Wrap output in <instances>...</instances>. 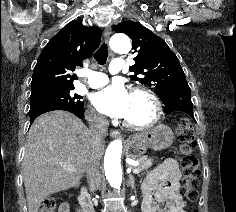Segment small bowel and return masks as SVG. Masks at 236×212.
<instances>
[{"mask_svg":"<svg viewBox=\"0 0 236 212\" xmlns=\"http://www.w3.org/2000/svg\"><path fill=\"white\" fill-rule=\"evenodd\" d=\"M179 176L174 159L154 168L143 183V212H185L184 202L177 193ZM59 212H69V205L62 204Z\"/></svg>","mask_w":236,"mask_h":212,"instance_id":"1","label":"small bowel"}]
</instances>
